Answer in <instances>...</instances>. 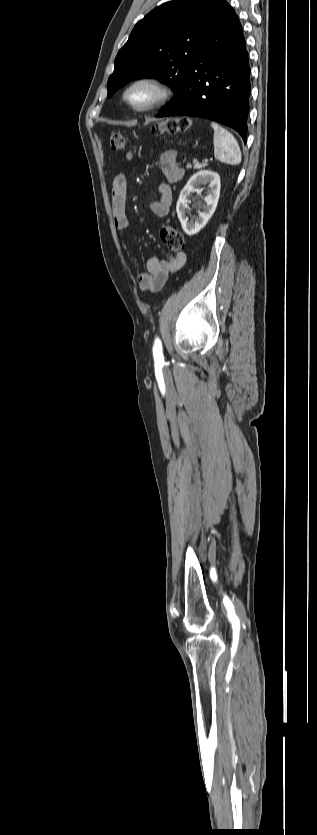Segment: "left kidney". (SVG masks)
<instances>
[{
  "label": "left kidney",
  "instance_id": "1",
  "mask_svg": "<svg viewBox=\"0 0 317 835\" xmlns=\"http://www.w3.org/2000/svg\"><path fill=\"white\" fill-rule=\"evenodd\" d=\"M201 184H208L207 195L203 198L204 204L199 205V216L195 221H188L187 212L190 194ZM220 176L216 172L201 170L194 174L182 189L176 205V211L183 230L187 235H194L199 232L214 214L220 196Z\"/></svg>",
  "mask_w": 317,
  "mask_h": 835
}]
</instances>
